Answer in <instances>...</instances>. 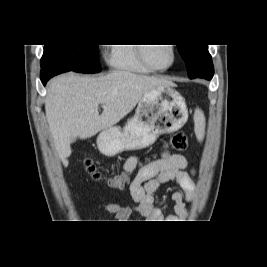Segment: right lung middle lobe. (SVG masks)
<instances>
[{
	"instance_id": "dd1d6c3e",
	"label": "right lung middle lobe",
	"mask_w": 267,
	"mask_h": 267,
	"mask_svg": "<svg viewBox=\"0 0 267 267\" xmlns=\"http://www.w3.org/2000/svg\"><path fill=\"white\" fill-rule=\"evenodd\" d=\"M98 45H45L41 67L53 65L79 73H98Z\"/></svg>"
}]
</instances>
